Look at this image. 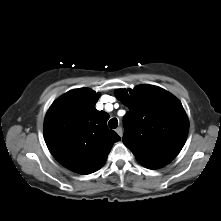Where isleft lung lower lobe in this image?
Returning <instances> with one entry per match:
<instances>
[{"instance_id": "left-lung-lower-lobe-1", "label": "left lung lower lobe", "mask_w": 221, "mask_h": 221, "mask_svg": "<svg viewBox=\"0 0 221 221\" xmlns=\"http://www.w3.org/2000/svg\"><path fill=\"white\" fill-rule=\"evenodd\" d=\"M142 165L149 169H157L163 167L166 164L157 163V164H142Z\"/></svg>"}]
</instances>
